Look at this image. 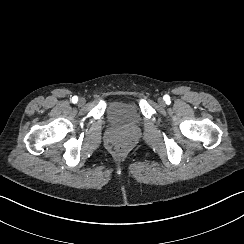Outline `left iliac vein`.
I'll return each instance as SVG.
<instances>
[{
  "mask_svg": "<svg viewBox=\"0 0 244 244\" xmlns=\"http://www.w3.org/2000/svg\"><path fill=\"white\" fill-rule=\"evenodd\" d=\"M158 104L163 107V106H165V101L162 98H159Z\"/></svg>",
  "mask_w": 244,
  "mask_h": 244,
  "instance_id": "left-iliac-vein-1",
  "label": "left iliac vein"
}]
</instances>
